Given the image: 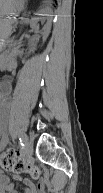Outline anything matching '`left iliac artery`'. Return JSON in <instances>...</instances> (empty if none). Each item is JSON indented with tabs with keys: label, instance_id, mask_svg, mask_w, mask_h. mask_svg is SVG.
<instances>
[{
	"label": "left iliac artery",
	"instance_id": "obj_1",
	"mask_svg": "<svg viewBox=\"0 0 103 193\" xmlns=\"http://www.w3.org/2000/svg\"><path fill=\"white\" fill-rule=\"evenodd\" d=\"M18 137H19L20 145H21L22 147H24V146H25V143H26V140H25V138H24V135H23V134H19Z\"/></svg>",
	"mask_w": 103,
	"mask_h": 193
}]
</instances>
